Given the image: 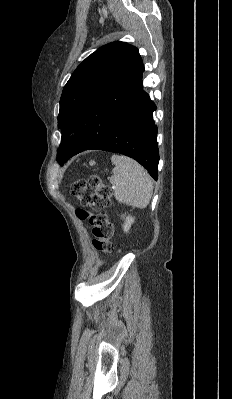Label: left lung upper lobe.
I'll list each match as a JSON object with an SVG mask.
<instances>
[{"label":"left lung upper lobe","mask_w":232,"mask_h":399,"mask_svg":"<svg viewBox=\"0 0 232 399\" xmlns=\"http://www.w3.org/2000/svg\"><path fill=\"white\" fill-rule=\"evenodd\" d=\"M143 72L138 49L121 41L100 47L77 67L60 99L58 128L63 137L57 161L61 165L110 131L138 94ZM72 131L78 135L69 142Z\"/></svg>","instance_id":"obj_1"}]
</instances>
